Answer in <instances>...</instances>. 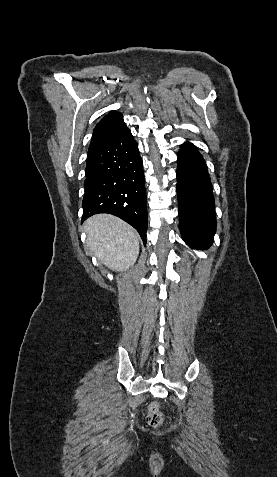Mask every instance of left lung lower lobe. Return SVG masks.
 Wrapping results in <instances>:
<instances>
[{
	"label": "left lung lower lobe",
	"mask_w": 277,
	"mask_h": 477,
	"mask_svg": "<svg viewBox=\"0 0 277 477\" xmlns=\"http://www.w3.org/2000/svg\"><path fill=\"white\" fill-rule=\"evenodd\" d=\"M177 196L183 240L190 246H210L216 228L212 185L202 155L189 142L178 153Z\"/></svg>",
	"instance_id": "1"
}]
</instances>
